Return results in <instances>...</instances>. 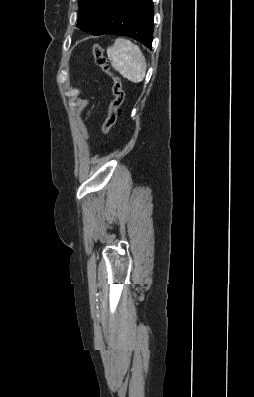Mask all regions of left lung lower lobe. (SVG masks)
<instances>
[{
	"instance_id": "1",
	"label": "left lung lower lobe",
	"mask_w": 254,
	"mask_h": 397,
	"mask_svg": "<svg viewBox=\"0 0 254 397\" xmlns=\"http://www.w3.org/2000/svg\"><path fill=\"white\" fill-rule=\"evenodd\" d=\"M107 9L93 35L116 34L132 37L152 48V0H107Z\"/></svg>"
}]
</instances>
